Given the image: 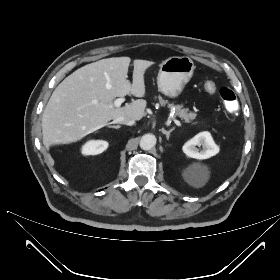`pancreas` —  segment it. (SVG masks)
I'll return each mask as SVG.
<instances>
[{
  "label": "pancreas",
  "mask_w": 280,
  "mask_h": 280,
  "mask_svg": "<svg viewBox=\"0 0 280 280\" xmlns=\"http://www.w3.org/2000/svg\"><path fill=\"white\" fill-rule=\"evenodd\" d=\"M159 104L161 106L167 105L170 109H175V116L180 117L182 120H184L186 123H191L193 120H195L197 114L189 111L188 108H183V105L169 103L167 100H164L161 96L158 97ZM198 122H193L192 125H196Z\"/></svg>",
  "instance_id": "obj_1"
}]
</instances>
